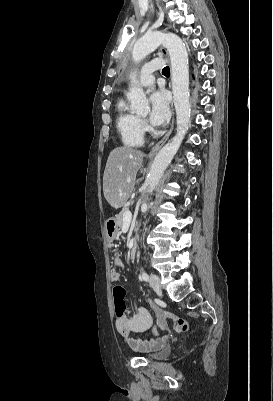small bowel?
I'll list each match as a JSON object with an SVG mask.
<instances>
[{
  "instance_id": "1",
  "label": "small bowel",
  "mask_w": 273,
  "mask_h": 401,
  "mask_svg": "<svg viewBox=\"0 0 273 401\" xmlns=\"http://www.w3.org/2000/svg\"><path fill=\"white\" fill-rule=\"evenodd\" d=\"M113 269L110 274L111 281L113 283H117L120 280V273L118 271L124 265V261L120 255L114 256L112 260ZM153 311L155 312V317L157 319L158 328L153 326V320L150 312L144 308L139 307L135 313L127 315L123 320L115 321V328L117 332L125 338V342L127 345H137L138 349H141L146 352H155L163 349L166 344L168 337L167 335H159V338H156V335L159 334V331H163L167 333L169 331L168 328L164 326L166 323L165 318H174V311H160L159 305L153 306ZM173 328L175 329L176 334H188L190 332L189 323L186 318H174L172 320ZM151 331L154 335H150L149 339L144 340L140 336H131L133 333H144L146 331Z\"/></svg>"
}]
</instances>
